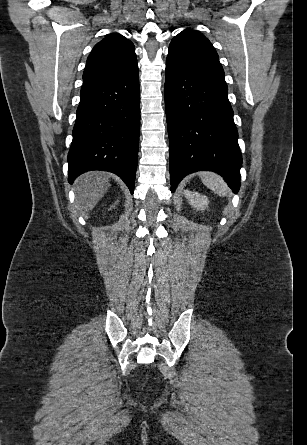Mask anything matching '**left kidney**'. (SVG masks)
Segmentation results:
<instances>
[{"label": "left kidney", "instance_id": "1", "mask_svg": "<svg viewBox=\"0 0 307 445\" xmlns=\"http://www.w3.org/2000/svg\"><path fill=\"white\" fill-rule=\"evenodd\" d=\"M186 198H188L190 204L198 210H205L209 200L205 194H199V192H191V190H184Z\"/></svg>", "mask_w": 307, "mask_h": 445}]
</instances>
